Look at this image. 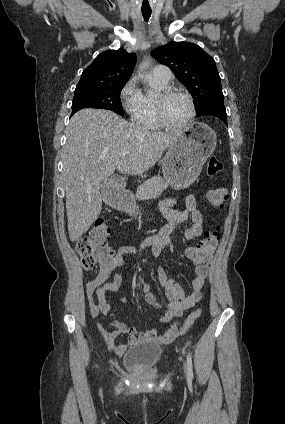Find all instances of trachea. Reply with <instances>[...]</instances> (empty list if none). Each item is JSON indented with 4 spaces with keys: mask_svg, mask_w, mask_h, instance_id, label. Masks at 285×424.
<instances>
[{
    "mask_svg": "<svg viewBox=\"0 0 285 424\" xmlns=\"http://www.w3.org/2000/svg\"><path fill=\"white\" fill-rule=\"evenodd\" d=\"M142 15L145 21H148L151 16V10L149 11H142Z\"/></svg>",
    "mask_w": 285,
    "mask_h": 424,
    "instance_id": "obj_1",
    "label": "trachea"
}]
</instances>
